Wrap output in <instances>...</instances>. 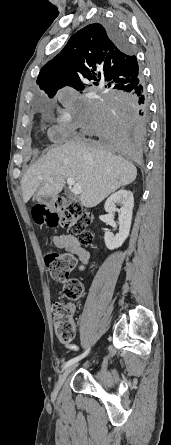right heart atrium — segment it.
Wrapping results in <instances>:
<instances>
[{"instance_id": "obj_1", "label": "right heart atrium", "mask_w": 171, "mask_h": 445, "mask_svg": "<svg viewBox=\"0 0 171 445\" xmlns=\"http://www.w3.org/2000/svg\"><path fill=\"white\" fill-rule=\"evenodd\" d=\"M72 120H73V115L67 108L61 110L57 115L55 120V125L53 126L52 138L53 139L63 138L69 131Z\"/></svg>"}]
</instances>
